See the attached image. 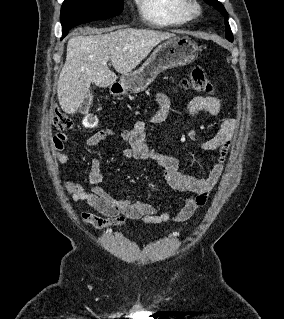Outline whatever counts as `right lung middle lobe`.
<instances>
[{
  "label": "right lung middle lobe",
  "mask_w": 284,
  "mask_h": 319,
  "mask_svg": "<svg viewBox=\"0 0 284 319\" xmlns=\"http://www.w3.org/2000/svg\"><path fill=\"white\" fill-rule=\"evenodd\" d=\"M123 0H65L61 8L62 33L79 24L120 14Z\"/></svg>",
  "instance_id": "dd1d6c3e"
}]
</instances>
